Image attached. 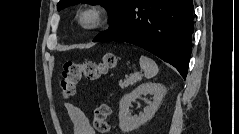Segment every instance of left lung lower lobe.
<instances>
[{"instance_id": "obj_1", "label": "left lung lower lobe", "mask_w": 239, "mask_h": 134, "mask_svg": "<svg viewBox=\"0 0 239 134\" xmlns=\"http://www.w3.org/2000/svg\"><path fill=\"white\" fill-rule=\"evenodd\" d=\"M192 0H130L119 20L94 42L120 41L146 49L185 79L194 31Z\"/></svg>"}]
</instances>
